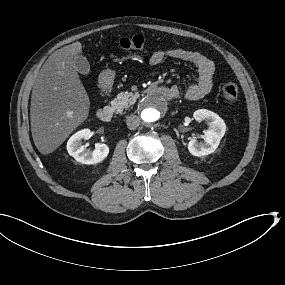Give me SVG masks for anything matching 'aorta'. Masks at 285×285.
Instances as JSON below:
<instances>
[{
    "label": "aorta",
    "instance_id": "aorta-1",
    "mask_svg": "<svg viewBox=\"0 0 285 285\" xmlns=\"http://www.w3.org/2000/svg\"><path fill=\"white\" fill-rule=\"evenodd\" d=\"M138 113L142 121L150 125H155L163 121L167 113V108L163 100L155 96H150L142 100L138 108Z\"/></svg>",
    "mask_w": 285,
    "mask_h": 285
}]
</instances>
